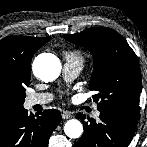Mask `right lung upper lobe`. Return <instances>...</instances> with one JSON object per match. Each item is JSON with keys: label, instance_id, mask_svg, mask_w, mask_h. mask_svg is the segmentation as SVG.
Segmentation results:
<instances>
[{"label": "right lung upper lobe", "instance_id": "obj_1", "mask_svg": "<svg viewBox=\"0 0 147 147\" xmlns=\"http://www.w3.org/2000/svg\"><path fill=\"white\" fill-rule=\"evenodd\" d=\"M51 37L9 36L0 41V67L30 76L34 53Z\"/></svg>", "mask_w": 147, "mask_h": 147}]
</instances>
